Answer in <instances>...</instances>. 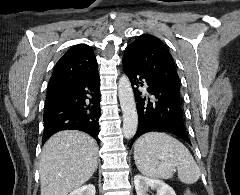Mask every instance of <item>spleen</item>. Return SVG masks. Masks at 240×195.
<instances>
[{"label": "spleen", "instance_id": "spleen-1", "mask_svg": "<svg viewBox=\"0 0 240 195\" xmlns=\"http://www.w3.org/2000/svg\"><path fill=\"white\" fill-rule=\"evenodd\" d=\"M134 159L139 171L148 177L169 179L174 167L183 183H195L200 177V169L189 149L168 133H143L134 143Z\"/></svg>", "mask_w": 240, "mask_h": 195}]
</instances>
